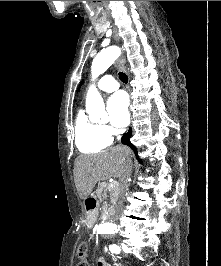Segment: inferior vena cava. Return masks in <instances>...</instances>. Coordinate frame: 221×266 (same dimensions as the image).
<instances>
[{
  "label": "inferior vena cava",
  "instance_id": "obj_1",
  "mask_svg": "<svg viewBox=\"0 0 221 266\" xmlns=\"http://www.w3.org/2000/svg\"><path fill=\"white\" fill-rule=\"evenodd\" d=\"M131 170H132V162H131L130 158H127L124 173L120 178V191H118V192H123L126 189L128 179L131 175Z\"/></svg>",
  "mask_w": 221,
  "mask_h": 266
}]
</instances>
